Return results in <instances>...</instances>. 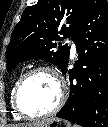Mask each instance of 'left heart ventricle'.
Here are the masks:
<instances>
[{"label": "left heart ventricle", "instance_id": "obj_1", "mask_svg": "<svg viewBox=\"0 0 108 127\" xmlns=\"http://www.w3.org/2000/svg\"><path fill=\"white\" fill-rule=\"evenodd\" d=\"M58 98L57 81L47 73H37L24 84L20 94V104L25 112L39 115L51 110Z\"/></svg>", "mask_w": 108, "mask_h": 127}]
</instances>
